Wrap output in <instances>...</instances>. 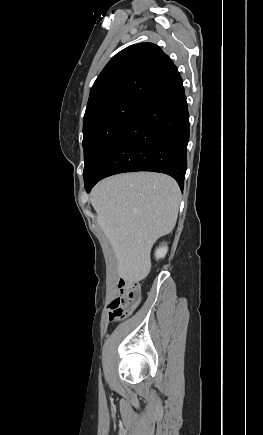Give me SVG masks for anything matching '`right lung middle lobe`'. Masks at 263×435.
<instances>
[{"mask_svg": "<svg viewBox=\"0 0 263 435\" xmlns=\"http://www.w3.org/2000/svg\"><path fill=\"white\" fill-rule=\"evenodd\" d=\"M144 103L122 100L96 107L84 119V180L90 179Z\"/></svg>", "mask_w": 263, "mask_h": 435, "instance_id": "1", "label": "right lung middle lobe"}]
</instances>
